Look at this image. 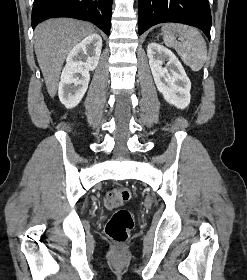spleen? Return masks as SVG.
Segmentation results:
<instances>
[{
	"mask_svg": "<svg viewBox=\"0 0 247 280\" xmlns=\"http://www.w3.org/2000/svg\"><path fill=\"white\" fill-rule=\"evenodd\" d=\"M162 31L164 43L176 50L184 64L193 71L202 69L207 59V47L204 38L196 28L168 23L162 27ZM177 36L181 42L177 41Z\"/></svg>",
	"mask_w": 247,
	"mask_h": 280,
	"instance_id": "3e777b00",
	"label": "spleen"
}]
</instances>
